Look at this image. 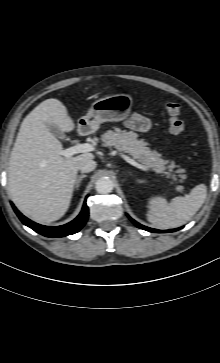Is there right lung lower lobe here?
<instances>
[{
	"label": "right lung lower lobe",
	"instance_id": "right-lung-lower-lobe-1",
	"mask_svg": "<svg viewBox=\"0 0 220 363\" xmlns=\"http://www.w3.org/2000/svg\"><path fill=\"white\" fill-rule=\"evenodd\" d=\"M12 207L16 212V214L18 215V217L20 218V220L23 222V224H25L26 226L30 227L37 233L44 235L46 237H64L67 235L77 233L85 225L89 214L88 206L86 205V203H84L82 211L77 216V218H75L73 221L65 225L53 227V226H43L37 224L29 220L25 216H23L13 204Z\"/></svg>",
	"mask_w": 220,
	"mask_h": 363
}]
</instances>
